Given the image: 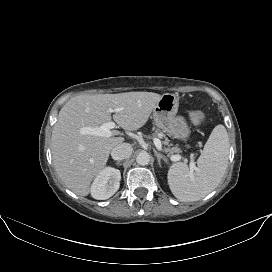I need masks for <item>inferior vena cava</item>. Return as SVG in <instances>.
<instances>
[{"label":"inferior vena cava","instance_id":"602c4592","mask_svg":"<svg viewBox=\"0 0 272 272\" xmlns=\"http://www.w3.org/2000/svg\"><path fill=\"white\" fill-rule=\"evenodd\" d=\"M133 148L128 143H121L111 150V156L114 160H123L131 156Z\"/></svg>","mask_w":272,"mask_h":272}]
</instances>
